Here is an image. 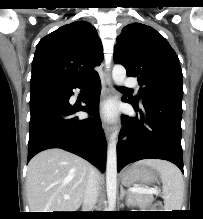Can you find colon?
<instances>
[{"label":"colon","mask_w":203,"mask_h":219,"mask_svg":"<svg viewBox=\"0 0 203 219\" xmlns=\"http://www.w3.org/2000/svg\"><path fill=\"white\" fill-rule=\"evenodd\" d=\"M162 208V204L160 202H156L154 205H153V209L155 211H160Z\"/></svg>","instance_id":"colon-1"}]
</instances>
